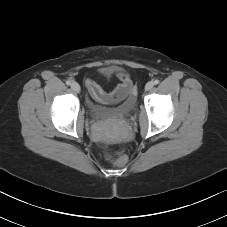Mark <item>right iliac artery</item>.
I'll return each mask as SVG.
<instances>
[{
	"label": "right iliac artery",
	"instance_id": "1",
	"mask_svg": "<svg viewBox=\"0 0 227 227\" xmlns=\"http://www.w3.org/2000/svg\"><path fill=\"white\" fill-rule=\"evenodd\" d=\"M66 84H67V85H70V84H71V81L67 80V81H66Z\"/></svg>",
	"mask_w": 227,
	"mask_h": 227
}]
</instances>
